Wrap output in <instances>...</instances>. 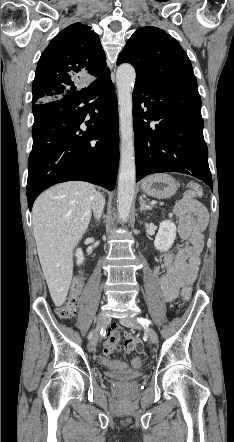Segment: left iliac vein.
Wrapping results in <instances>:
<instances>
[{
    "mask_svg": "<svg viewBox=\"0 0 234 442\" xmlns=\"http://www.w3.org/2000/svg\"><path fill=\"white\" fill-rule=\"evenodd\" d=\"M120 322L124 326L130 327V328L140 329L142 327L140 325V323L136 320L135 317H126V318L121 319ZM146 332H147L149 340L153 344H157L158 341H159L157 332L153 328H151V327H147L146 328Z\"/></svg>",
    "mask_w": 234,
    "mask_h": 442,
    "instance_id": "obj_1",
    "label": "left iliac vein"
}]
</instances>
